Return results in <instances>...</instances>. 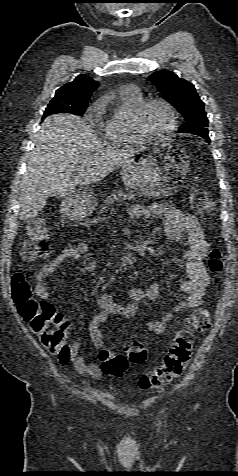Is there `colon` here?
Returning <instances> with one entry per match:
<instances>
[{"instance_id": "5ec220e1", "label": "colon", "mask_w": 238, "mask_h": 476, "mask_svg": "<svg viewBox=\"0 0 238 476\" xmlns=\"http://www.w3.org/2000/svg\"><path fill=\"white\" fill-rule=\"evenodd\" d=\"M190 205L201 217L209 216L215 210L213 199L199 187L191 189ZM47 236L44 223L40 219L32 220L22 247V258L34 261L48 257L50 248L46 241ZM225 263L224 251L217 248L210 250L207 264L211 272L220 273ZM12 296L19 314L37 335L41 344L56 355H65L69 347L70 325L56 312L54 306L48 301L39 300L34 287L20 273L15 274L12 279ZM210 324L209 310L203 306L195 308L187 318L185 327L177 332L162 361L140 377L139 386L142 389H156L181 376L191 359L193 334L207 331ZM146 357V345L136 340L126 341L123 353L120 354L106 349L99 352L103 372L117 377L125 374L129 362L142 363Z\"/></svg>"}]
</instances>
